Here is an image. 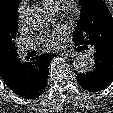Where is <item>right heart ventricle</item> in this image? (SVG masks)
<instances>
[{
  "mask_svg": "<svg viewBox=\"0 0 113 113\" xmlns=\"http://www.w3.org/2000/svg\"><path fill=\"white\" fill-rule=\"evenodd\" d=\"M47 7L57 9L61 0H41Z\"/></svg>",
  "mask_w": 113,
  "mask_h": 113,
  "instance_id": "obj_1",
  "label": "right heart ventricle"
}]
</instances>
